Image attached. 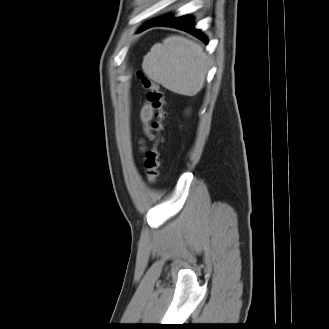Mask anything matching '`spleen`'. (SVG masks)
I'll use <instances>...</instances> for the list:
<instances>
[{"label":"spleen","mask_w":329,"mask_h":329,"mask_svg":"<svg viewBox=\"0 0 329 329\" xmlns=\"http://www.w3.org/2000/svg\"><path fill=\"white\" fill-rule=\"evenodd\" d=\"M207 65L208 57L198 43L172 35L152 46L144 56L142 68L164 88L193 96L204 86Z\"/></svg>","instance_id":"obj_1"}]
</instances>
